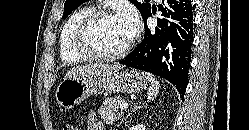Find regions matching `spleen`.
I'll return each mask as SVG.
<instances>
[{"mask_svg":"<svg viewBox=\"0 0 249 130\" xmlns=\"http://www.w3.org/2000/svg\"><path fill=\"white\" fill-rule=\"evenodd\" d=\"M146 79L149 81L150 86L148 89V101L154 100L159 93L160 84L151 74H145Z\"/></svg>","mask_w":249,"mask_h":130,"instance_id":"obj_1","label":"spleen"}]
</instances>
